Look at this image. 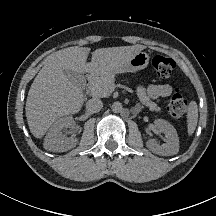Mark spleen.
<instances>
[{
  "label": "spleen",
  "instance_id": "3e777b00",
  "mask_svg": "<svg viewBox=\"0 0 216 216\" xmlns=\"http://www.w3.org/2000/svg\"><path fill=\"white\" fill-rule=\"evenodd\" d=\"M198 122V106L195 101L190 102L187 112V131L192 135Z\"/></svg>",
  "mask_w": 216,
  "mask_h": 216
}]
</instances>
